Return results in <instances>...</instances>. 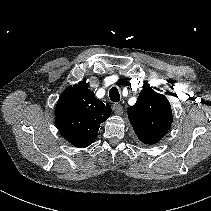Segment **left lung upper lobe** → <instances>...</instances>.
<instances>
[{"instance_id": "obj_1", "label": "left lung upper lobe", "mask_w": 211, "mask_h": 211, "mask_svg": "<svg viewBox=\"0 0 211 211\" xmlns=\"http://www.w3.org/2000/svg\"><path fill=\"white\" fill-rule=\"evenodd\" d=\"M128 117L139 140L149 145L159 142L172 123L168 99L146 85L128 109Z\"/></svg>"}]
</instances>
